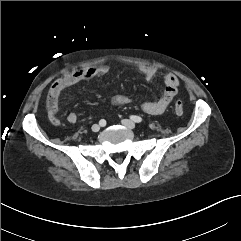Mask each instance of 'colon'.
<instances>
[{"instance_id":"obj_1","label":"colon","mask_w":241,"mask_h":241,"mask_svg":"<svg viewBox=\"0 0 241 241\" xmlns=\"http://www.w3.org/2000/svg\"><path fill=\"white\" fill-rule=\"evenodd\" d=\"M73 79H74V76L71 73H68V74L64 73L60 78H57L54 81V84L57 87L65 86L68 82H71ZM174 111L177 115H182L184 112L183 103L180 101L176 102L174 105Z\"/></svg>"}]
</instances>
